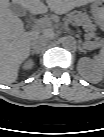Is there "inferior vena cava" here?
Instances as JSON below:
<instances>
[{
  "label": "inferior vena cava",
  "instance_id": "1",
  "mask_svg": "<svg viewBox=\"0 0 104 137\" xmlns=\"http://www.w3.org/2000/svg\"><path fill=\"white\" fill-rule=\"evenodd\" d=\"M46 45H47V39L43 35L35 37L31 42V46L37 52L45 49Z\"/></svg>",
  "mask_w": 104,
  "mask_h": 137
}]
</instances>
